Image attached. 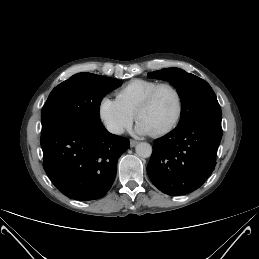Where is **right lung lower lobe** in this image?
I'll use <instances>...</instances> for the list:
<instances>
[{
  "label": "right lung lower lobe",
  "instance_id": "1",
  "mask_svg": "<svg viewBox=\"0 0 259 259\" xmlns=\"http://www.w3.org/2000/svg\"><path fill=\"white\" fill-rule=\"evenodd\" d=\"M43 167L64 195L79 201L102 198L111 188L118 158L129 140L103 125L66 124L42 132Z\"/></svg>",
  "mask_w": 259,
  "mask_h": 259
}]
</instances>
